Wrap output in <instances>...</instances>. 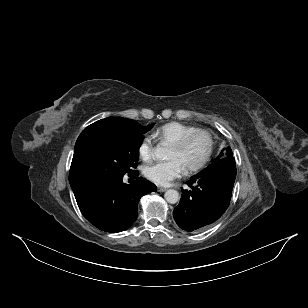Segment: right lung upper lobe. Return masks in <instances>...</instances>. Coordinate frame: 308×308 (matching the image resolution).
Segmentation results:
<instances>
[{
	"label": "right lung upper lobe",
	"instance_id": "right-lung-upper-lobe-1",
	"mask_svg": "<svg viewBox=\"0 0 308 308\" xmlns=\"http://www.w3.org/2000/svg\"><path fill=\"white\" fill-rule=\"evenodd\" d=\"M137 122L131 119L120 118V117H109L86 127L80 136L77 139L74 149V155L71 163L70 173H69V182L70 185H74L80 182L84 176L79 172L78 168V155L79 150L83 142L90 136L107 130H121V129H128L133 127Z\"/></svg>",
	"mask_w": 308,
	"mask_h": 308
}]
</instances>
